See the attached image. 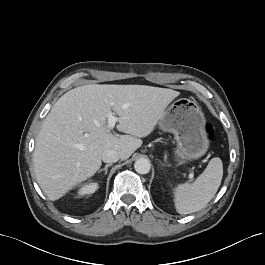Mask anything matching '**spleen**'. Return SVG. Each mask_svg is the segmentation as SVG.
I'll return each instance as SVG.
<instances>
[{
	"instance_id": "obj_1",
	"label": "spleen",
	"mask_w": 265,
	"mask_h": 265,
	"mask_svg": "<svg viewBox=\"0 0 265 265\" xmlns=\"http://www.w3.org/2000/svg\"><path fill=\"white\" fill-rule=\"evenodd\" d=\"M223 177V164L219 157L212 158L206 169L193 183L179 184L174 189V204L179 214L197 212L216 194Z\"/></svg>"
}]
</instances>
